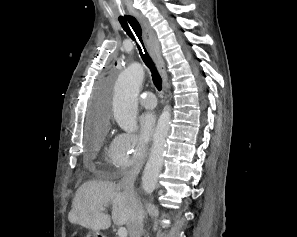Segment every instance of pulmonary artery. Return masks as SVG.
Listing matches in <instances>:
<instances>
[{
	"label": "pulmonary artery",
	"instance_id": "obj_1",
	"mask_svg": "<svg viewBox=\"0 0 297 237\" xmlns=\"http://www.w3.org/2000/svg\"><path fill=\"white\" fill-rule=\"evenodd\" d=\"M141 76H142V72L140 69H138V77L140 78ZM139 102L143 107L148 109L154 108L157 105L154 94L151 92L142 93L140 95Z\"/></svg>",
	"mask_w": 297,
	"mask_h": 237
}]
</instances>
